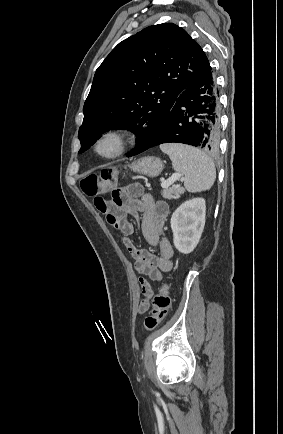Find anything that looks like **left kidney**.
Here are the masks:
<instances>
[{
    "instance_id": "5707ae66",
    "label": "left kidney",
    "mask_w": 283,
    "mask_h": 434,
    "mask_svg": "<svg viewBox=\"0 0 283 434\" xmlns=\"http://www.w3.org/2000/svg\"><path fill=\"white\" fill-rule=\"evenodd\" d=\"M205 215L203 198L187 200L173 212L170 223L174 246L179 252L189 254L195 249L205 226Z\"/></svg>"
}]
</instances>
